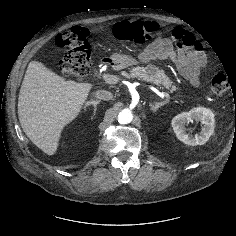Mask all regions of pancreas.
Here are the masks:
<instances>
[{
  "instance_id": "1",
  "label": "pancreas",
  "mask_w": 236,
  "mask_h": 236,
  "mask_svg": "<svg viewBox=\"0 0 236 236\" xmlns=\"http://www.w3.org/2000/svg\"><path fill=\"white\" fill-rule=\"evenodd\" d=\"M127 78H137L138 80L149 82L165 88L170 93L180 90L173 81L165 74L164 70L155 65L148 64L146 67L137 66L130 70V74H123Z\"/></svg>"
}]
</instances>
